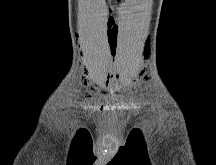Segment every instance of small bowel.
I'll return each mask as SVG.
<instances>
[{
	"mask_svg": "<svg viewBox=\"0 0 216 165\" xmlns=\"http://www.w3.org/2000/svg\"><path fill=\"white\" fill-rule=\"evenodd\" d=\"M118 34H119V31H118L117 26L114 24V22L109 21L108 22L107 37H108L109 45L113 49L117 45Z\"/></svg>",
	"mask_w": 216,
	"mask_h": 165,
	"instance_id": "obj_1",
	"label": "small bowel"
}]
</instances>
